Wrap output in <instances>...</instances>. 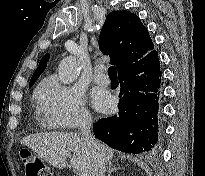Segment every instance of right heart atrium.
<instances>
[{
	"mask_svg": "<svg viewBox=\"0 0 205 176\" xmlns=\"http://www.w3.org/2000/svg\"><path fill=\"white\" fill-rule=\"evenodd\" d=\"M36 96L39 110L50 129H72L90 122L91 115L82 93L62 84L57 76L46 78Z\"/></svg>",
	"mask_w": 205,
	"mask_h": 176,
	"instance_id": "right-heart-atrium-1",
	"label": "right heart atrium"
}]
</instances>
